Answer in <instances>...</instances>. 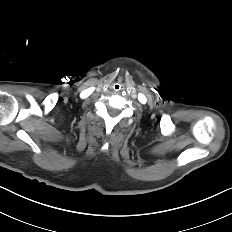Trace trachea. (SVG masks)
<instances>
[{
  "instance_id": "trachea-1",
  "label": "trachea",
  "mask_w": 232,
  "mask_h": 232,
  "mask_svg": "<svg viewBox=\"0 0 232 232\" xmlns=\"http://www.w3.org/2000/svg\"><path fill=\"white\" fill-rule=\"evenodd\" d=\"M112 88L115 92H120L122 90L123 86L121 83L116 82L113 84Z\"/></svg>"
}]
</instances>
